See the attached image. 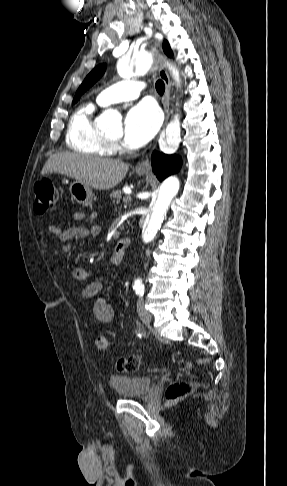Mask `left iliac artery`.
<instances>
[{
    "label": "left iliac artery",
    "instance_id": "left-iliac-artery-1",
    "mask_svg": "<svg viewBox=\"0 0 287 486\" xmlns=\"http://www.w3.org/2000/svg\"><path fill=\"white\" fill-rule=\"evenodd\" d=\"M134 290H135V292H136V294H137L138 296H140V297H141V296H143V294H144V286H143V285H136V286L134 287ZM139 336H140V335H139Z\"/></svg>",
    "mask_w": 287,
    "mask_h": 486
}]
</instances>
